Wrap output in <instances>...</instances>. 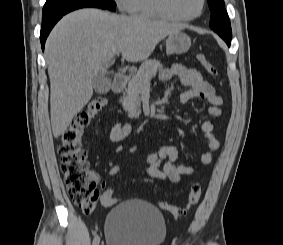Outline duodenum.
Masks as SVG:
<instances>
[{
    "label": "duodenum",
    "instance_id": "410a0bca",
    "mask_svg": "<svg viewBox=\"0 0 283 245\" xmlns=\"http://www.w3.org/2000/svg\"><path fill=\"white\" fill-rule=\"evenodd\" d=\"M127 76L123 73H117L114 76L112 89L115 93H120L124 90L127 84Z\"/></svg>",
    "mask_w": 283,
    "mask_h": 245
}]
</instances>
